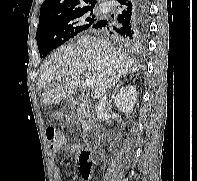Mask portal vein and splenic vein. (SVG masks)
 <instances>
[{"instance_id": "portal-vein-and-splenic-vein-1", "label": "portal vein and splenic vein", "mask_w": 197, "mask_h": 181, "mask_svg": "<svg viewBox=\"0 0 197 181\" xmlns=\"http://www.w3.org/2000/svg\"><path fill=\"white\" fill-rule=\"evenodd\" d=\"M95 82V78L91 75H87L86 78H85V85L86 86H92Z\"/></svg>"}]
</instances>
